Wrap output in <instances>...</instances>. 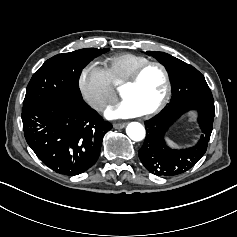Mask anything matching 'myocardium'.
Returning a JSON list of instances; mask_svg holds the SVG:
<instances>
[{"mask_svg": "<svg viewBox=\"0 0 237 237\" xmlns=\"http://www.w3.org/2000/svg\"><path fill=\"white\" fill-rule=\"evenodd\" d=\"M152 66H156L159 67L163 74H164V78H165V93L164 96L162 98V100L160 101V103L151 111L143 113L142 116L146 117V118H150L153 117L157 114H159L168 104L170 97H171V77H170V73L168 71V69L166 68V66L164 64H162L161 62L158 61H149L147 63H145L144 65H142L141 67H139L124 83L121 89V95L123 94V92L129 88L134 86L139 79L141 78L142 74L150 67Z\"/></svg>", "mask_w": 237, "mask_h": 237, "instance_id": "1", "label": "myocardium"}]
</instances>
